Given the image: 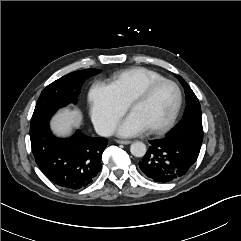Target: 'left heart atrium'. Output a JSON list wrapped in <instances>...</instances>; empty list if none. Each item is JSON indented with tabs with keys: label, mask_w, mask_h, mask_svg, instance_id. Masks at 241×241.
Segmentation results:
<instances>
[{
	"label": "left heart atrium",
	"mask_w": 241,
	"mask_h": 241,
	"mask_svg": "<svg viewBox=\"0 0 241 241\" xmlns=\"http://www.w3.org/2000/svg\"><path fill=\"white\" fill-rule=\"evenodd\" d=\"M148 129V126L133 112L121 123L118 133L121 136H134Z\"/></svg>",
	"instance_id": "39dd6f15"
}]
</instances>
